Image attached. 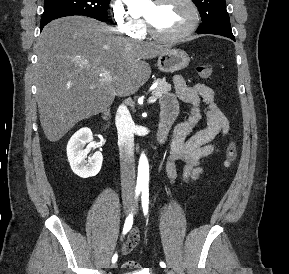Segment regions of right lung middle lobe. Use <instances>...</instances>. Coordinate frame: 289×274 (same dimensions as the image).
<instances>
[{
	"mask_svg": "<svg viewBox=\"0 0 289 274\" xmlns=\"http://www.w3.org/2000/svg\"><path fill=\"white\" fill-rule=\"evenodd\" d=\"M109 3L110 0H45L41 23L73 15L88 16L105 22Z\"/></svg>",
	"mask_w": 289,
	"mask_h": 274,
	"instance_id": "obj_1",
	"label": "right lung middle lobe"
}]
</instances>
